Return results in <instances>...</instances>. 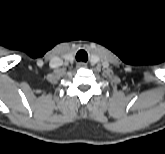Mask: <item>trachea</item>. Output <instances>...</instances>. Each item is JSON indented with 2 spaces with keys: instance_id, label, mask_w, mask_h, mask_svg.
<instances>
[{
  "instance_id": "1",
  "label": "trachea",
  "mask_w": 165,
  "mask_h": 154,
  "mask_svg": "<svg viewBox=\"0 0 165 154\" xmlns=\"http://www.w3.org/2000/svg\"><path fill=\"white\" fill-rule=\"evenodd\" d=\"M76 60L86 62L88 60V54L84 50H80L76 54Z\"/></svg>"
}]
</instances>
